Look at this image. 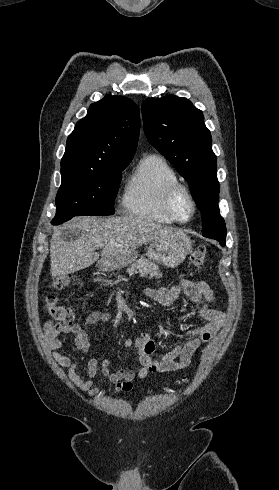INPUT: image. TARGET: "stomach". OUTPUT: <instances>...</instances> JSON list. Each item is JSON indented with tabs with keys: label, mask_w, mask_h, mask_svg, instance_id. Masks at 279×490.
Masks as SVG:
<instances>
[{
	"label": "stomach",
	"mask_w": 279,
	"mask_h": 490,
	"mask_svg": "<svg viewBox=\"0 0 279 490\" xmlns=\"http://www.w3.org/2000/svg\"><path fill=\"white\" fill-rule=\"evenodd\" d=\"M191 250V244L187 240H165V242H154L147 248L148 258L153 262H158L166 268H177L180 264H183L187 254ZM138 252H130V254H124V256H118V258H111V260H101L99 264L102 272H113V270H121L126 268L129 264L137 262Z\"/></svg>",
	"instance_id": "stomach-1"
}]
</instances>
